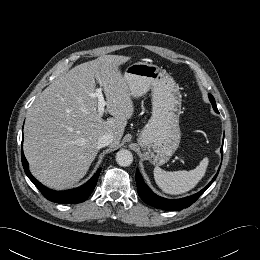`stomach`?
Listing matches in <instances>:
<instances>
[{
    "label": "stomach",
    "mask_w": 260,
    "mask_h": 260,
    "mask_svg": "<svg viewBox=\"0 0 260 260\" xmlns=\"http://www.w3.org/2000/svg\"><path fill=\"white\" fill-rule=\"evenodd\" d=\"M124 79L134 98L152 91V116L138 138L145 157L163 165L179 147L181 95L179 86L166 70L147 62L127 67Z\"/></svg>",
    "instance_id": "0dacf381"
}]
</instances>
